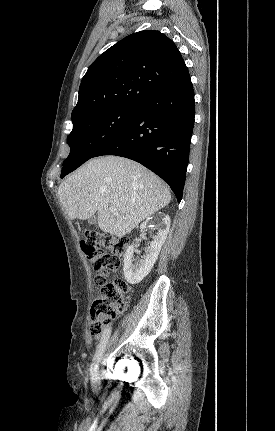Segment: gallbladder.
I'll use <instances>...</instances> for the list:
<instances>
[{"mask_svg":"<svg viewBox=\"0 0 275 431\" xmlns=\"http://www.w3.org/2000/svg\"><path fill=\"white\" fill-rule=\"evenodd\" d=\"M96 221H97L96 216H92L88 219V224L94 225L96 223Z\"/></svg>","mask_w":275,"mask_h":431,"instance_id":"bac80fb5","label":"gallbladder"}]
</instances>
